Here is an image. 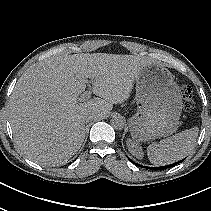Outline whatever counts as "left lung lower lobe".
<instances>
[{
  "label": "left lung lower lobe",
  "instance_id": "1",
  "mask_svg": "<svg viewBox=\"0 0 211 211\" xmlns=\"http://www.w3.org/2000/svg\"><path fill=\"white\" fill-rule=\"evenodd\" d=\"M183 160H184V159H183ZM183 160H181V161H179V162H176V163H173V164H171V165H167V166H161V167H145V166H144V168L154 169V170L167 169V168H169V167H173V166L177 165L178 163L182 162ZM136 165H138V164H136ZM140 167H141V166H140ZM142 167H143V166H142Z\"/></svg>",
  "mask_w": 211,
  "mask_h": 211
}]
</instances>
